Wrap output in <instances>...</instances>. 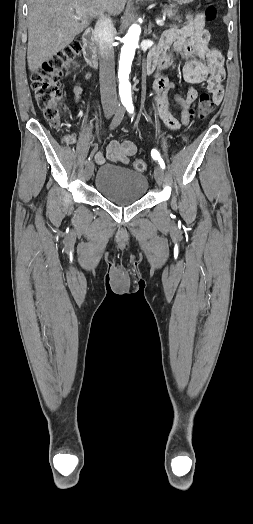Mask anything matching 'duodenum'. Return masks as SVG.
Masks as SVG:
<instances>
[{
	"label": "duodenum",
	"mask_w": 253,
	"mask_h": 524,
	"mask_svg": "<svg viewBox=\"0 0 253 524\" xmlns=\"http://www.w3.org/2000/svg\"><path fill=\"white\" fill-rule=\"evenodd\" d=\"M93 36L94 31L92 28H88L84 31L82 36V42H83V53L84 57L86 59V62L88 65H90L93 68L98 67V56H97V50L93 42ZM153 66L150 64H146L144 71L146 73L153 72Z\"/></svg>",
	"instance_id": "410a0bca"
}]
</instances>
